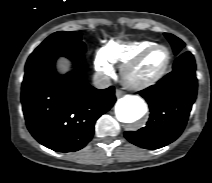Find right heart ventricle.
<instances>
[{
	"label": "right heart ventricle",
	"mask_w": 212,
	"mask_h": 183,
	"mask_svg": "<svg viewBox=\"0 0 212 183\" xmlns=\"http://www.w3.org/2000/svg\"><path fill=\"white\" fill-rule=\"evenodd\" d=\"M154 44L156 42L150 40L129 43L111 41L102 50L109 62L124 65L145 48Z\"/></svg>",
	"instance_id": "1"
}]
</instances>
